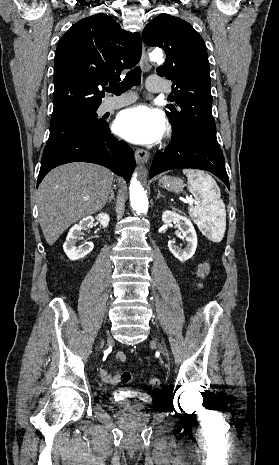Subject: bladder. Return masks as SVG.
I'll use <instances>...</instances> for the list:
<instances>
[{"instance_id": "1", "label": "bladder", "mask_w": 279, "mask_h": 465, "mask_svg": "<svg viewBox=\"0 0 279 465\" xmlns=\"http://www.w3.org/2000/svg\"><path fill=\"white\" fill-rule=\"evenodd\" d=\"M114 400L121 411L128 413H137L154 402L149 394L125 391L118 392Z\"/></svg>"}]
</instances>
